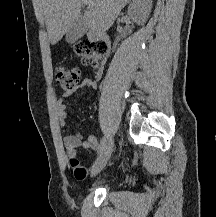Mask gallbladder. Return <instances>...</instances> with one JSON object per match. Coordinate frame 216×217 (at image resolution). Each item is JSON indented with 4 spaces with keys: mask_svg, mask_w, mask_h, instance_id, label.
Masks as SVG:
<instances>
[{
    "mask_svg": "<svg viewBox=\"0 0 216 217\" xmlns=\"http://www.w3.org/2000/svg\"><path fill=\"white\" fill-rule=\"evenodd\" d=\"M85 32L86 26L84 25L83 19L80 17L68 30L66 34V41L70 44H73L79 40L85 34Z\"/></svg>",
    "mask_w": 216,
    "mask_h": 217,
    "instance_id": "gallbladder-1",
    "label": "gallbladder"
}]
</instances>
